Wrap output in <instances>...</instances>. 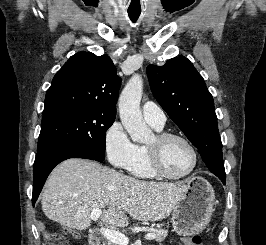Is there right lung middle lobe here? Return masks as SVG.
<instances>
[{"label": "right lung middle lobe", "instance_id": "1", "mask_svg": "<svg viewBox=\"0 0 266 245\" xmlns=\"http://www.w3.org/2000/svg\"><path fill=\"white\" fill-rule=\"evenodd\" d=\"M116 114L96 108H76L42 118L37 152L66 145L93 152L105 158L106 131Z\"/></svg>", "mask_w": 266, "mask_h": 245}]
</instances>
